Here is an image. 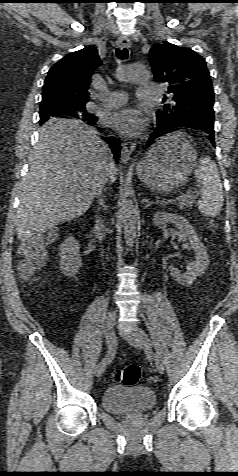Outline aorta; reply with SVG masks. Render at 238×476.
<instances>
[{"label":"aorta","mask_w":238,"mask_h":476,"mask_svg":"<svg viewBox=\"0 0 238 476\" xmlns=\"http://www.w3.org/2000/svg\"><path fill=\"white\" fill-rule=\"evenodd\" d=\"M120 79L145 84L149 82L150 76L148 71L140 65H126L120 72ZM121 216L125 243L132 248L137 237V210L128 196L122 200Z\"/></svg>","instance_id":"obj_1"}]
</instances>
